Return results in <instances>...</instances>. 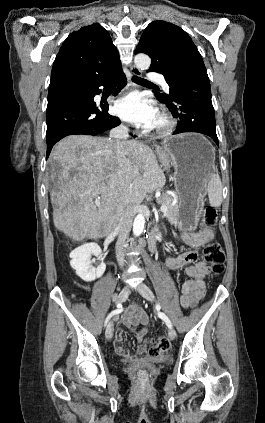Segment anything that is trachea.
Returning <instances> with one entry per match:
<instances>
[{
	"mask_svg": "<svg viewBox=\"0 0 265 423\" xmlns=\"http://www.w3.org/2000/svg\"><path fill=\"white\" fill-rule=\"evenodd\" d=\"M132 80H133L135 83H137V84H150V83H151V82H149V81H147V80H145V79H143V78L137 77V76H134V77L132 78Z\"/></svg>",
	"mask_w": 265,
	"mask_h": 423,
	"instance_id": "3493384b",
	"label": "trachea"
}]
</instances>
